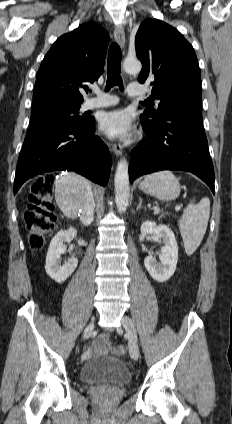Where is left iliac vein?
I'll return each instance as SVG.
<instances>
[{
  "mask_svg": "<svg viewBox=\"0 0 232 424\" xmlns=\"http://www.w3.org/2000/svg\"><path fill=\"white\" fill-rule=\"evenodd\" d=\"M122 324L128 337L130 355L134 360H137L139 358V347L135 325L127 316L122 318Z\"/></svg>",
  "mask_w": 232,
  "mask_h": 424,
  "instance_id": "1",
  "label": "left iliac vein"
}]
</instances>
